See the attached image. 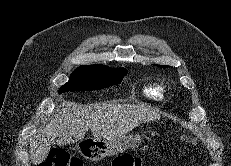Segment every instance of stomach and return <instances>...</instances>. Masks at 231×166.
Listing matches in <instances>:
<instances>
[{
    "label": "stomach",
    "instance_id": "1",
    "mask_svg": "<svg viewBox=\"0 0 231 166\" xmlns=\"http://www.w3.org/2000/svg\"><path fill=\"white\" fill-rule=\"evenodd\" d=\"M139 135H128L113 140H97L81 141L77 144L79 153L92 160H98L99 157L106 155H115L129 148H135L140 144ZM89 142V143H88Z\"/></svg>",
    "mask_w": 231,
    "mask_h": 166
}]
</instances>
